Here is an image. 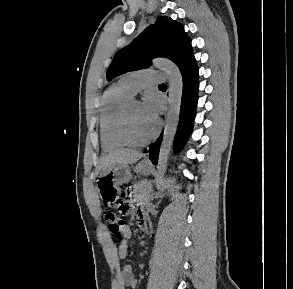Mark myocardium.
<instances>
[{
    "label": "myocardium",
    "instance_id": "1",
    "mask_svg": "<svg viewBox=\"0 0 293 289\" xmlns=\"http://www.w3.org/2000/svg\"><path fill=\"white\" fill-rule=\"evenodd\" d=\"M138 102L135 99H130L124 106L119 121L118 133L123 143L129 147H143L150 144L159 134L160 123H156L153 133L145 140H135L130 132V110L133 103Z\"/></svg>",
    "mask_w": 293,
    "mask_h": 289
}]
</instances>
